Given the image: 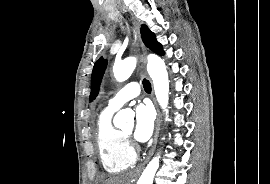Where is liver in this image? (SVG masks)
I'll return each instance as SVG.
<instances>
[{"label": "liver", "mask_w": 270, "mask_h": 184, "mask_svg": "<svg viewBox=\"0 0 270 184\" xmlns=\"http://www.w3.org/2000/svg\"><path fill=\"white\" fill-rule=\"evenodd\" d=\"M132 175H125L120 177H113L104 181V184H129L132 179Z\"/></svg>", "instance_id": "obj_1"}]
</instances>
